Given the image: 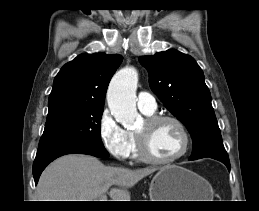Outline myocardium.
Here are the masks:
<instances>
[{
	"instance_id": "obj_1",
	"label": "myocardium",
	"mask_w": 259,
	"mask_h": 211,
	"mask_svg": "<svg viewBox=\"0 0 259 211\" xmlns=\"http://www.w3.org/2000/svg\"><path fill=\"white\" fill-rule=\"evenodd\" d=\"M163 121H170L177 126L183 139L182 148L176 155L170 158H165V159L156 158L152 156V154L149 152L144 137L141 134L136 132L135 138H136L139 158L147 163H152V164L173 163L179 160L180 158H182L187 153L190 147V136L187 131V128L185 127L184 123L176 116L169 115V114L150 115L146 117L144 120V122L149 126L156 125Z\"/></svg>"
}]
</instances>
